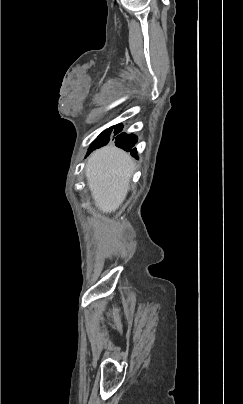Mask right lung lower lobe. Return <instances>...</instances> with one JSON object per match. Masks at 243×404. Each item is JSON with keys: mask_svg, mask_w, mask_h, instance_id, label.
Masks as SVG:
<instances>
[{"mask_svg": "<svg viewBox=\"0 0 243 404\" xmlns=\"http://www.w3.org/2000/svg\"><path fill=\"white\" fill-rule=\"evenodd\" d=\"M113 128L115 136L110 139L115 140V144L117 147H120L125 151H130L131 155L137 158L136 148L132 149V146H134L137 142L136 136L132 134L120 133L122 131L123 125L119 124Z\"/></svg>", "mask_w": 243, "mask_h": 404, "instance_id": "98d812e1", "label": "right lung lower lobe"}]
</instances>
